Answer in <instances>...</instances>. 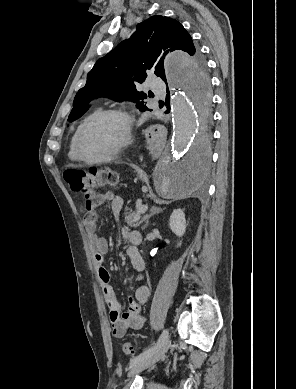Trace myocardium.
Here are the masks:
<instances>
[{"instance_id": "f54148a6", "label": "myocardium", "mask_w": 296, "mask_h": 389, "mask_svg": "<svg viewBox=\"0 0 296 389\" xmlns=\"http://www.w3.org/2000/svg\"><path fill=\"white\" fill-rule=\"evenodd\" d=\"M110 115L120 117L124 121L125 135L123 140L113 150H111L110 152H108L107 154L101 157H97V158L86 157L83 154L82 147H81L82 137L85 130L95 120ZM132 139H133V120L132 117L129 115V113L119 108H107L93 113L80 125L75 138V152L78 159H80L85 163H89V164L102 163L110 159H113L114 157L121 154L130 145Z\"/></svg>"}]
</instances>
